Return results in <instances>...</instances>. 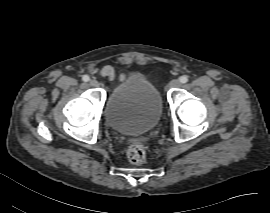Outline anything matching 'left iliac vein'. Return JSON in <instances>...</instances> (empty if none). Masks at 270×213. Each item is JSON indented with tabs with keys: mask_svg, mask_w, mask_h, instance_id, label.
<instances>
[{
	"mask_svg": "<svg viewBox=\"0 0 270 213\" xmlns=\"http://www.w3.org/2000/svg\"><path fill=\"white\" fill-rule=\"evenodd\" d=\"M181 85V82L180 80L178 79H173L171 80V82L169 83V87L170 88H176V87H179Z\"/></svg>",
	"mask_w": 270,
	"mask_h": 213,
	"instance_id": "left-iliac-vein-1",
	"label": "left iliac vein"
}]
</instances>
